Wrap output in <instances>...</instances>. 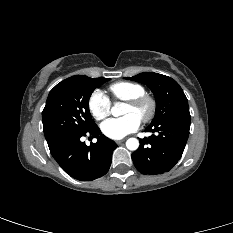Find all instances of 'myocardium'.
Wrapping results in <instances>:
<instances>
[{
	"label": "myocardium",
	"instance_id": "f54148a6",
	"mask_svg": "<svg viewBox=\"0 0 233 233\" xmlns=\"http://www.w3.org/2000/svg\"><path fill=\"white\" fill-rule=\"evenodd\" d=\"M126 104L134 109L139 108L143 105L148 106L147 112L140 118V120L144 123L151 121L156 114V110H157L156 100L148 94H143L138 97L127 100Z\"/></svg>",
	"mask_w": 233,
	"mask_h": 233
}]
</instances>
